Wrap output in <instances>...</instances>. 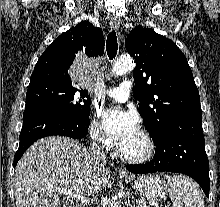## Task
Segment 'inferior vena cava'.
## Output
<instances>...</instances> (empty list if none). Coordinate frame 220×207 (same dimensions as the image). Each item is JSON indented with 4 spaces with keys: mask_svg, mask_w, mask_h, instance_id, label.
<instances>
[{
    "mask_svg": "<svg viewBox=\"0 0 220 207\" xmlns=\"http://www.w3.org/2000/svg\"><path fill=\"white\" fill-rule=\"evenodd\" d=\"M97 141V143H96ZM100 142H104V138H97L92 144L91 147V158L95 163H105L106 155L104 152L103 144L100 145Z\"/></svg>",
    "mask_w": 220,
    "mask_h": 207,
    "instance_id": "1",
    "label": "inferior vena cava"
}]
</instances>
